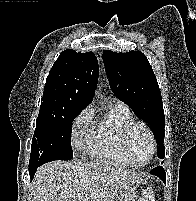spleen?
I'll return each mask as SVG.
<instances>
[{"label": "spleen", "mask_w": 196, "mask_h": 201, "mask_svg": "<svg viewBox=\"0 0 196 201\" xmlns=\"http://www.w3.org/2000/svg\"><path fill=\"white\" fill-rule=\"evenodd\" d=\"M141 201H155L154 200V195H153V191L151 188H147L144 192H143V198Z\"/></svg>", "instance_id": "obj_1"}]
</instances>
